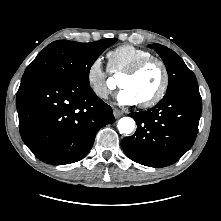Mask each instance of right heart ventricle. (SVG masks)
Returning a JSON list of instances; mask_svg holds the SVG:
<instances>
[{
	"label": "right heart ventricle",
	"instance_id": "e07e8e85",
	"mask_svg": "<svg viewBox=\"0 0 221 221\" xmlns=\"http://www.w3.org/2000/svg\"><path fill=\"white\" fill-rule=\"evenodd\" d=\"M151 55L147 49L132 44L120 45L107 53L108 70L113 75H119L138 60Z\"/></svg>",
	"mask_w": 221,
	"mask_h": 221
}]
</instances>
